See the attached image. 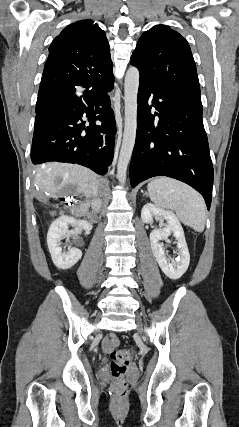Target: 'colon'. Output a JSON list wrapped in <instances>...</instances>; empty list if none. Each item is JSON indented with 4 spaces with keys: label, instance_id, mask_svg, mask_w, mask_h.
Instances as JSON below:
<instances>
[{
    "label": "colon",
    "instance_id": "obj_1",
    "mask_svg": "<svg viewBox=\"0 0 239 427\" xmlns=\"http://www.w3.org/2000/svg\"><path fill=\"white\" fill-rule=\"evenodd\" d=\"M135 351L132 348H124L111 352L110 371L113 378V395L121 399L127 392L126 373L133 361Z\"/></svg>",
    "mask_w": 239,
    "mask_h": 427
}]
</instances>
